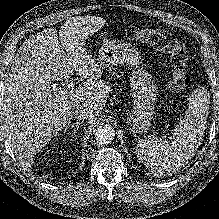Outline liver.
Segmentation results:
<instances>
[{"mask_svg":"<svg viewBox=\"0 0 219 219\" xmlns=\"http://www.w3.org/2000/svg\"><path fill=\"white\" fill-rule=\"evenodd\" d=\"M104 23L96 16L72 17L59 31L45 29L19 48L5 80L1 114L4 134L20 160L30 164L36 152L70 125L76 105L93 111L90 121L102 111L110 87L84 46ZM74 71L86 82L67 94L53 90L52 82L64 81Z\"/></svg>","mask_w":219,"mask_h":219,"instance_id":"obj_1","label":"liver"}]
</instances>
